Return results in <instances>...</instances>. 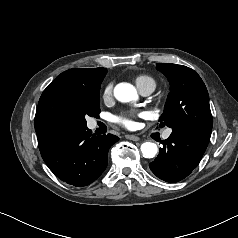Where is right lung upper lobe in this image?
I'll return each instance as SVG.
<instances>
[{"instance_id": "right-lung-upper-lobe-1", "label": "right lung upper lobe", "mask_w": 238, "mask_h": 238, "mask_svg": "<svg viewBox=\"0 0 238 238\" xmlns=\"http://www.w3.org/2000/svg\"><path fill=\"white\" fill-rule=\"evenodd\" d=\"M96 84V68L70 69L57 76L44 90L38 103L35 115L38 141L67 129L64 120L68 114L66 96L69 91Z\"/></svg>"}]
</instances>
